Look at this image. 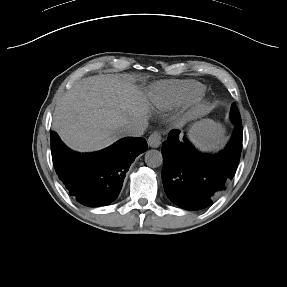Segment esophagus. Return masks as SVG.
<instances>
[{
  "label": "esophagus",
  "mask_w": 287,
  "mask_h": 287,
  "mask_svg": "<svg viewBox=\"0 0 287 287\" xmlns=\"http://www.w3.org/2000/svg\"><path fill=\"white\" fill-rule=\"evenodd\" d=\"M162 142V134L158 131L153 132L148 138V144L152 148H158Z\"/></svg>",
  "instance_id": "obj_1"
}]
</instances>
